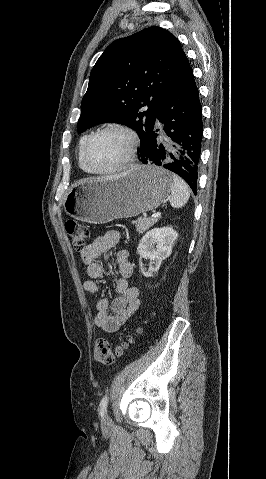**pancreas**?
<instances>
[{
  "mask_svg": "<svg viewBox=\"0 0 266 479\" xmlns=\"http://www.w3.org/2000/svg\"><path fill=\"white\" fill-rule=\"evenodd\" d=\"M157 221V218L139 217L137 220L132 221V224H135L137 232L143 233L152 227Z\"/></svg>",
  "mask_w": 266,
  "mask_h": 479,
  "instance_id": "cf45deb5",
  "label": "pancreas"
}]
</instances>
